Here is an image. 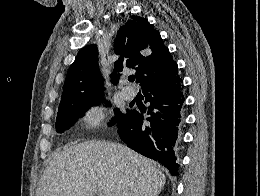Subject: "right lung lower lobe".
Returning a JSON list of instances; mask_svg holds the SVG:
<instances>
[{
	"label": "right lung lower lobe",
	"mask_w": 260,
	"mask_h": 196,
	"mask_svg": "<svg viewBox=\"0 0 260 196\" xmlns=\"http://www.w3.org/2000/svg\"><path fill=\"white\" fill-rule=\"evenodd\" d=\"M183 80L178 68L169 76L142 87L146 114L130 110L117 124L118 134L127 146L136 152L157 160L177 175V148L182 124Z\"/></svg>",
	"instance_id": "98d812e1"
}]
</instances>
